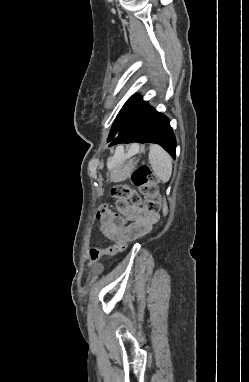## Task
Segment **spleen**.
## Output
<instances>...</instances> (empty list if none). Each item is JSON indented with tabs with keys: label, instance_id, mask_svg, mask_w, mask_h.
<instances>
[{
	"label": "spleen",
	"instance_id": "3e777b00",
	"mask_svg": "<svg viewBox=\"0 0 249 382\" xmlns=\"http://www.w3.org/2000/svg\"><path fill=\"white\" fill-rule=\"evenodd\" d=\"M149 162L155 175L163 182H168L172 174V158L159 145L150 146Z\"/></svg>",
	"mask_w": 249,
	"mask_h": 382
}]
</instances>
